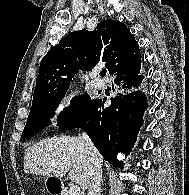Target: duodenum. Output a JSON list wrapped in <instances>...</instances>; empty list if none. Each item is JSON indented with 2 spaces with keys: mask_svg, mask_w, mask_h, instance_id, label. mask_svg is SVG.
<instances>
[{
  "mask_svg": "<svg viewBox=\"0 0 189 195\" xmlns=\"http://www.w3.org/2000/svg\"><path fill=\"white\" fill-rule=\"evenodd\" d=\"M50 192L52 195H62L63 190L58 181L51 182Z\"/></svg>",
  "mask_w": 189,
  "mask_h": 195,
  "instance_id": "1",
  "label": "duodenum"
}]
</instances>
